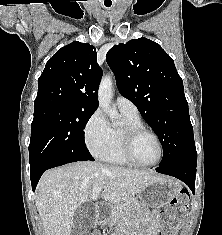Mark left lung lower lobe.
<instances>
[{
  "instance_id": "left-lung-lower-lobe-1",
  "label": "left lung lower lobe",
  "mask_w": 222,
  "mask_h": 235,
  "mask_svg": "<svg viewBox=\"0 0 222 235\" xmlns=\"http://www.w3.org/2000/svg\"><path fill=\"white\" fill-rule=\"evenodd\" d=\"M196 160H179L169 164L159 165L156 171L182 180L191 191L195 192Z\"/></svg>"
}]
</instances>
